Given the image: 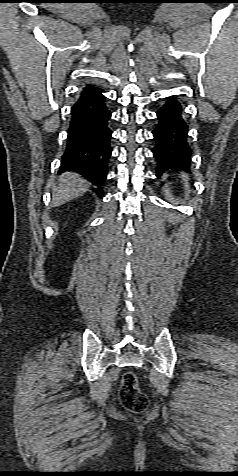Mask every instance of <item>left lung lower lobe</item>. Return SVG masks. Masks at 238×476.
<instances>
[{"mask_svg": "<svg viewBox=\"0 0 238 476\" xmlns=\"http://www.w3.org/2000/svg\"><path fill=\"white\" fill-rule=\"evenodd\" d=\"M158 124L153 130L157 161L156 175L172 171L189 172L191 148L188 145V125L182 117V106L175 97H169L157 111Z\"/></svg>", "mask_w": 238, "mask_h": 476, "instance_id": "1", "label": "left lung lower lobe"}]
</instances>
